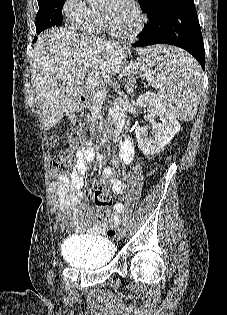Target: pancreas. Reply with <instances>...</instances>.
Returning a JSON list of instances; mask_svg holds the SVG:
<instances>
[{
  "label": "pancreas",
  "instance_id": "cf45deb5",
  "mask_svg": "<svg viewBox=\"0 0 227 315\" xmlns=\"http://www.w3.org/2000/svg\"><path fill=\"white\" fill-rule=\"evenodd\" d=\"M144 73L146 74V70L142 69V65L139 67H134L131 70H129L128 72H126V76H130V75H138ZM95 79H97V85H90L88 84L87 86V93H88V108L92 111L94 110L95 106H97L99 103H97V97L96 94L99 92H104L105 91V87L103 85V83L100 81V77H95ZM103 99L101 98L99 102H101Z\"/></svg>",
  "mask_w": 227,
  "mask_h": 315
}]
</instances>
